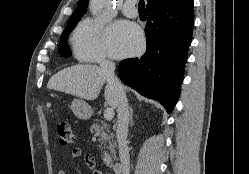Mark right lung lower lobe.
Masks as SVG:
<instances>
[{"label":"right lung lower lobe","instance_id":"right-lung-lower-lobe-1","mask_svg":"<svg viewBox=\"0 0 249 174\" xmlns=\"http://www.w3.org/2000/svg\"><path fill=\"white\" fill-rule=\"evenodd\" d=\"M148 12L147 50L119 65L121 80L171 112L179 97L194 26L193 0H178Z\"/></svg>","mask_w":249,"mask_h":174}]
</instances>
